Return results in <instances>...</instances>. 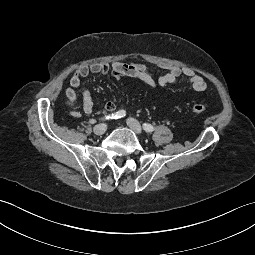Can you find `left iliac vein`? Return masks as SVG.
<instances>
[{
  "instance_id": "1",
  "label": "left iliac vein",
  "mask_w": 255,
  "mask_h": 255,
  "mask_svg": "<svg viewBox=\"0 0 255 255\" xmlns=\"http://www.w3.org/2000/svg\"><path fill=\"white\" fill-rule=\"evenodd\" d=\"M127 125L138 135L142 134V127L140 123L134 118L127 119Z\"/></svg>"
}]
</instances>
